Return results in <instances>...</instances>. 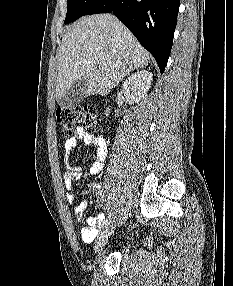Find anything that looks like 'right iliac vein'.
Here are the masks:
<instances>
[{
  "mask_svg": "<svg viewBox=\"0 0 233 286\" xmlns=\"http://www.w3.org/2000/svg\"><path fill=\"white\" fill-rule=\"evenodd\" d=\"M114 231V226L113 224H110L106 226L103 231L100 233V235L97 238L96 242V251H100V249L106 244L108 238Z\"/></svg>",
  "mask_w": 233,
  "mask_h": 286,
  "instance_id": "1",
  "label": "right iliac vein"
}]
</instances>
